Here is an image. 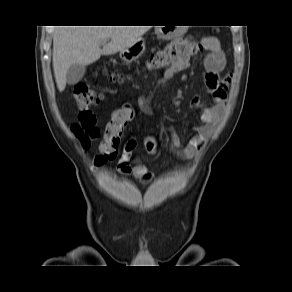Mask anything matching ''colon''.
I'll return each mask as SVG.
<instances>
[{"instance_id": "1", "label": "colon", "mask_w": 292, "mask_h": 292, "mask_svg": "<svg viewBox=\"0 0 292 292\" xmlns=\"http://www.w3.org/2000/svg\"><path fill=\"white\" fill-rule=\"evenodd\" d=\"M200 49H202L201 45L193 39L175 40L154 54L148 61V67L155 70L168 69L177 63L186 61L190 55ZM73 95L79 110V121L72 126L71 130L82 148L86 150L91 142L101 135L97 127L96 116L91 110L100 101V96L85 82L75 85ZM141 106L147 115L153 114L155 110L154 97L143 98ZM132 115L133 113L128 107H122L113 112L106 124L99 152L95 157L97 166H101L116 157L123 131ZM145 149L147 155L151 158H155L159 154L157 145L151 140L146 142Z\"/></svg>"}]
</instances>
